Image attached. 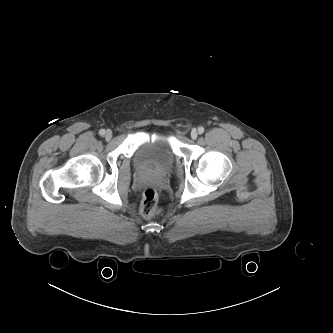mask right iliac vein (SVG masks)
Returning a JSON list of instances; mask_svg holds the SVG:
<instances>
[{
  "instance_id": "1",
  "label": "right iliac vein",
  "mask_w": 333,
  "mask_h": 333,
  "mask_svg": "<svg viewBox=\"0 0 333 333\" xmlns=\"http://www.w3.org/2000/svg\"><path fill=\"white\" fill-rule=\"evenodd\" d=\"M112 138V132L110 130H107L105 133V139L110 140Z\"/></svg>"
}]
</instances>
